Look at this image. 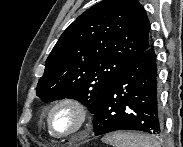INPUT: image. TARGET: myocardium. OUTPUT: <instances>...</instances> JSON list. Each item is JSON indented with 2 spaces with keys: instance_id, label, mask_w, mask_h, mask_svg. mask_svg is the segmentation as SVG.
I'll use <instances>...</instances> for the list:
<instances>
[{
  "instance_id": "myocardium-1",
  "label": "myocardium",
  "mask_w": 183,
  "mask_h": 147,
  "mask_svg": "<svg viewBox=\"0 0 183 147\" xmlns=\"http://www.w3.org/2000/svg\"><path fill=\"white\" fill-rule=\"evenodd\" d=\"M61 106H70L72 107L79 115V124L78 126L71 132L65 134H58L54 131L52 124H51V115L57 108ZM90 121V111L88 106L80 99L74 97H64L56 101L54 104L51 105L49 108L47 115H46V123L47 128L50 134L58 139H67L73 137L80 132H82L89 124Z\"/></svg>"
}]
</instances>
